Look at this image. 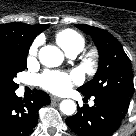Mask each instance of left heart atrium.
I'll use <instances>...</instances> for the list:
<instances>
[{
	"label": "left heart atrium",
	"instance_id": "obj_1",
	"mask_svg": "<svg viewBox=\"0 0 136 136\" xmlns=\"http://www.w3.org/2000/svg\"><path fill=\"white\" fill-rule=\"evenodd\" d=\"M78 73H64L58 71H46L39 77L42 88L53 93H64L68 91L73 83L80 81Z\"/></svg>",
	"mask_w": 136,
	"mask_h": 136
}]
</instances>
